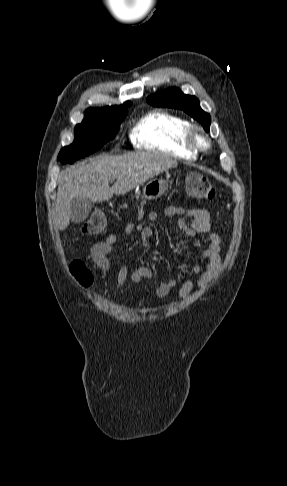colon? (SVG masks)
Wrapping results in <instances>:
<instances>
[{
	"instance_id": "1",
	"label": "colon",
	"mask_w": 287,
	"mask_h": 486,
	"mask_svg": "<svg viewBox=\"0 0 287 486\" xmlns=\"http://www.w3.org/2000/svg\"><path fill=\"white\" fill-rule=\"evenodd\" d=\"M187 193L197 199L210 201L216 196L213 184L204 176L198 173H190L186 177ZM106 227V218L103 213H93L83 224V231L87 234H99ZM71 272L79 283L85 287L92 284L91 272L81 261H74L70 266Z\"/></svg>"
}]
</instances>
